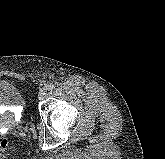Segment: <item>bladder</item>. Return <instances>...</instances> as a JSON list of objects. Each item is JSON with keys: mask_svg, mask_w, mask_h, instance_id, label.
<instances>
[{"mask_svg": "<svg viewBox=\"0 0 165 159\" xmlns=\"http://www.w3.org/2000/svg\"><path fill=\"white\" fill-rule=\"evenodd\" d=\"M24 103L19 89L11 82L0 80V107L18 108Z\"/></svg>", "mask_w": 165, "mask_h": 159, "instance_id": "obj_1", "label": "bladder"}]
</instances>
